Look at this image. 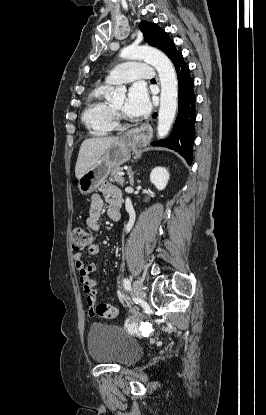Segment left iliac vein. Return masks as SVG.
Returning <instances> with one entry per match:
<instances>
[{
	"label": "left iliac vein",
	"instance_id": "1",
	"mask_svg": "<svg viewBox=\"0 0 266 415\" xmlns=\"http://www.w3.org/2000/svg\"><path fill=\"white\" fill-rule=\"evenodd\" d=\"M133 291L137 298L143 299L145 297V292L143 290V284L139 280L133 282Z\"/></svg>",
	"mask_w": 266,
	"mask_h": 415
}]
</instances>
